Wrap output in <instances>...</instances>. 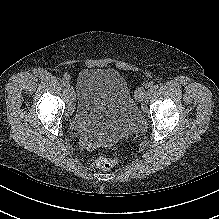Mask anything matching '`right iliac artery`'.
<instances>
[{
    "mask_svg": "<svg viewBox=\"0 0 219 219\" xmlns=\"http://www.w3.org/2000/svg\"><path fill=\"white\" fill-rule=\"evenodd\" d=\"M62 84L64 85V86H69V77L68 76H65V78L64 79H62Z\"/></svg>",
    "mask_w": 219,
    "mask_h": 219,
    "instance_id": "right-iliac-artery-1",
    "label": "right iliac artery"
}]
</instances>
